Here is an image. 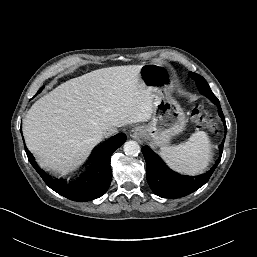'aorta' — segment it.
<instances>
[{
    "label": "aorta",
    "mask_w": 257,
    "mask_h": 257,
    "mask_svg": "<svg viewBox=\"0 0 257 257\" xmlns=\"http://www.w3.org/2000/svg\"><path fill=\"white\" fill-rule=\"evenodd\" d=\"M123 149L127 156H137L140 153L139 144L133 140L125 142Z\"/></svg>",
    "instance_id": "aorta-1"
}]
</instances>
